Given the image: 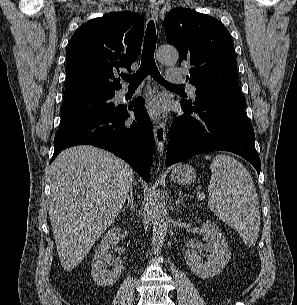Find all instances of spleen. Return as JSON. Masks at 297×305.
<instances>
[{
  "label": "spleen",
  "mask_w": 297,
  "mask_h": 305,
  "mask_svg": "<svg viewBox=\"0 0 297 305\" xmlns=\"http://www.w3.org/2000/svg\"><path fill=\"white\" fill-rule=\"evenodd\" d=\"M210 159L211 156H205ZM208 186L210 210L254 246L260 228L259 201L247 169L235 158L218 154L211 164Z\"/></svg>",
  "instance_id": "3e777b00"
}]
</instances>
